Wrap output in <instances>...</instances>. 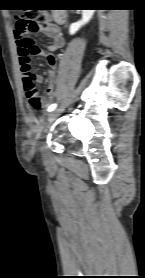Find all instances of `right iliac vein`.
<instances>
[{"label":"right iliac vein","mask_w":145,"mask_h":278,"mask_svg":"<svg viewBox=\"0 0 145 278\" xmlns=\"http://www.w3.org/2000/svg\"><path fill=\"white\" fill-rule=\"evenodd\" d=\"M55 113H56V111H54V112H52V113L49 114V116H48V121L53 120V118L55 117Z\"/></svg>","instance_id":"63e3f726"}]
</instances>
